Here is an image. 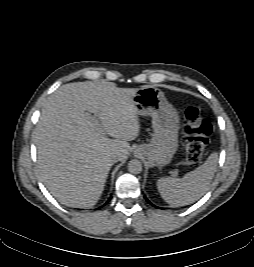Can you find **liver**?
Masks as SVG:
<instances>
[{
    "label": "liver",
    "mask_w": 254,
    "mask_h": 267,
    "mask_svg": "<svg viewBox=\"0 0 254 267\" xmlns=\"http://www.w3.org/2000/svg\"><path fill=\"white\" fill-rule=\"evenodd\" d=\"M137 90L105 81L74 82L60 86L47 98L32 135L37 173L63 205L94 206L115 163L113 156L118 161L127 158L128 141L140 133L133 102ZM85 111L94 114L100 127Z\"/></svg>",
    "instance_id": "6515ba94"
}]
</instances>
